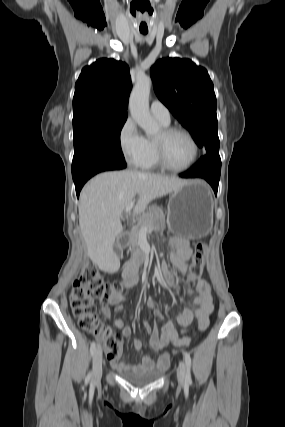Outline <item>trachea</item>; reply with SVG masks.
<instances>
[{
	"instance_id": "1",
	"label": "trachea",
	"mask_w": 285,
	"mask_h": 427,
	"mask_svg": "<svg viewBox=\"0 0 285 427\" xmlns=\"http://www.w3.org/2000/svg\"><path fill=\"white\" fill-rule=\"evenodd\" d=\"M141 33H142L143 35H146V34H147V31H141Z\"/></svg>"
}]
</instances>
